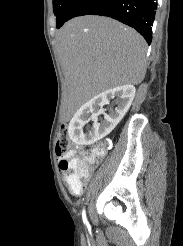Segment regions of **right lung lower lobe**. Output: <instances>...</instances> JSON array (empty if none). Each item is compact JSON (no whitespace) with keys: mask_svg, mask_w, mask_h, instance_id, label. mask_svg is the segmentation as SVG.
<instances>
[{"mask_svg":"<svg viewBox=\"0 0 183 246\" xmlns=\"http://www.w3.org/2000/svg\"><path fill=\"white\" fill-rule=\"evenodd\" d=\"M156 9L157 0H79L65 21L83 15L111 17L133 27L150 44Z\"/></svg>","mask_w":183,"mask_h":246,"instance_id":"right-lung-lower-lobe-1","label":"right lung lower lobe"}]
</instances>
